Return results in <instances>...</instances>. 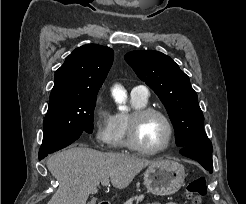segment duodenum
I'll use <instances>...</instances> for the list:
<instances>
[{
    "label": "duodenum",
    "instance_id": "410a0bca",
    "mask_svg": "<svg viewBox=\"0 0 246 204\" xmlns=\"http://www.w3.org/2000/svg\"><path fill=\"white\" fill-rule=\"evenodd\" d=\"M99 204H110V203H109V202L104 201V202H101V203H99Z\"/></svg>",
    "mask_w": 246,
    "mask_h": 204
}]
</instances>
